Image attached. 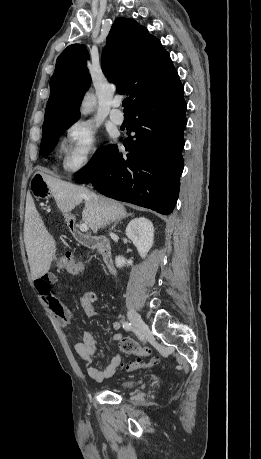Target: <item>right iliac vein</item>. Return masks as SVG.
<instances>
[{
  "label": "right iliac vein",
  "instance_id": "right-iliac-vein-1",
  "mask_svg": "<svg viewBox=\"0 0 261 459\" xmlns=\"http://www.w3.org/2000/svg\"><path fill=\"white\" fill-rule=\"evenodd\" d=\"M128 318L133 326L140 332H145L147 330V325L141 319L139 314L133 309H129L127 312Z\"/></svg>",
  "mask_w": 261,
  "mask_h": 459
}]
</instances>
